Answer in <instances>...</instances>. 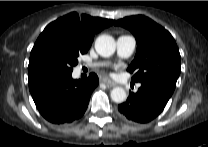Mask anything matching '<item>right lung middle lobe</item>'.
Listing matches in <instances>:
<instances>
[{
  "label": "right lung middle lobe",
  "mask_w": 208,
  "mask_h": 147,
  "mask_svg": "<svg viewBox=\"0 0 208 147\" xmlns=\"http://www.w3.org/2000/svg\"><path fill=\"white\" fill-rule=\"evenodd\" d=\"M86 52L68 45H58L47 49L40 60L43 75L71 74L78 63V56Z\"/></svg>",
  "instance_id": "right-lung-middle-lobe-1"
}]
</instances>
